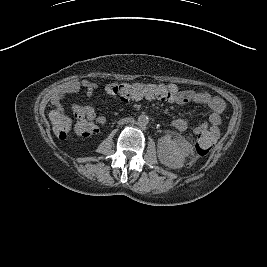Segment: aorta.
<instances>
[{"label":"aorta","instance_id":"762f6f07","mask_svg":"<svg viewBox=\"0 0 267 267\" xmlns=\"http://www.w3.org/2000/svg\"><path fill=\"white\" fill-rule=\"evenodd\" d=\"M137 123L139 126H146L149 123V118L147 115H140L138 117Z\"/></svg>","mask_w":267,"mask_h":267}]
</instances>
